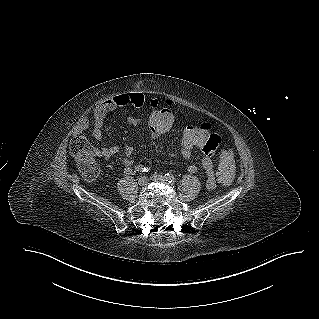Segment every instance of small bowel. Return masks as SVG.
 Listing matches in <instances>:
<instances>
[{
	"label": "small bowel",
	"mask_w": 319,
	"mask_h": 319,
	"mask_svg": "<svg viewBox=\"0 0 319 319\" xmlns=\"http://www.w3.org/2000/svg\"><path fill=\"white\" fill-rule=\"evenodd\" d=\"M146 103V99L144 94L140 92H129L121 95H117L111 97L99 105H97L94 109V119L92 123V136L97 142H103V134H102V126L103 120L105 116H112L113 111L122 106H134V107H142ZM151 106L152 113H172L174 111V106L170 104L169 100H164L163 102H159L158 100H151L149 102ZM212 122V121H211ZM139 123V119L130 118L128 120V124L131 126H135ZM213 123V122H212ZM214 124V123H213ZM89 121L87 119H82L78 126L72 130V136L83 137V132L88 128ZM191 126V125H189ZM187 126V127H189ZM161 134H154L151 132V136L153 138H158ZM223 137V131L221 129H216L212 134L209 141L203 144L202 151L204 152V157L202 159V168L206 173V185L208 188L213 189L216 187L217 182H222L224 184H228L232 181V179L228 181H224L222 176L220 175L218 178L216 177L214 171V161L213 154L216 148L221 143V138ZM134 147L130 144H125L122 148L118 146H112L107 148H102L98 150V156L100 158H109L113 155L119 154L121 152L124 153L125 157L123 159V163L125 166V172L130 174L132 172L133 159L131 156L134 153ZM182 155L185 159H190L192 154H185L182 152ZM190 173H197L199 168L197 165H190L188 167Z\"/></svg>",
	"instance_id": "small-bowel-1"
}]
</instances>
